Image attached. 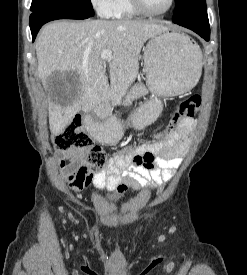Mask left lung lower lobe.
I'll use <instances>...</instances> for the list:
<instances>
[{"instance_id":"0a47b994","label":"left lung lower lobe","mask_w":247,"mask_h":275,"mask_svg":"<svg viewBox=\"0 0 247 275\" xmlns=\"http://www.w3.org/2000/svg\"><path fill=\"white\" fill-rule=\"evenodd\" d=\"M174 23L180 26L186 27L188 29H191L192 31L200 35L202 38H204L206 41H209L210 39V27H209L208 19H196V20H191L186 22H174Z\"/></svg>"}]
</instances>
